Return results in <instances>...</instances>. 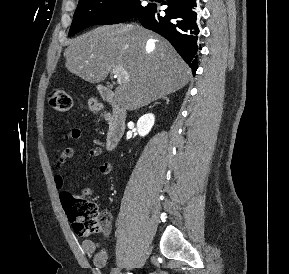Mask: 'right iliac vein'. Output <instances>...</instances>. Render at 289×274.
<instances>
[{"label": "right iliac vein", "mask_w": 289, "mask_h": 274, "mask_svg": "<svg viewBox=\"0 0 289 274\" xmlns=\"http://www.w3.org/2000/svg\"><path fill=\"white\" fill-rule=\"evenodd\" d=\"M120 270H121L120 267L113 268V269L111 270L110 274H120Z\"/></svg>", "instance_id": "right-iliac-vein-1"}]
</instances>
